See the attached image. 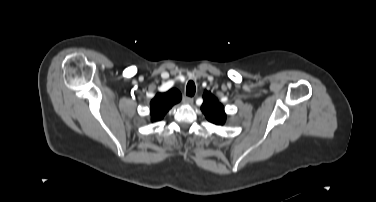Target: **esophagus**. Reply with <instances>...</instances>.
I'll list each match as a JSON object with an SVG mask.
<instances>
[{"label":"esophagus","instance_id":"1","mask_svg":"<svg viewBox=\"0 0 376 202\" xmlns=\"http://www.w3.org/2000/svg\"><path fill=\"white\" fill-rule=\"evenodd\" d=\"M182 101L184 104H192L194 100L191 97L183 96Z\"/></svg>","mask_w":376,"mask_h":202}]
</instances>
